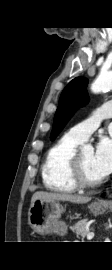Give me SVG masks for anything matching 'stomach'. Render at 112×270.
Segmentation results:
<instances>
[{
    "instance_id": "0dacf381",
    "label": "stomach",
    "mask_w": 112,
    "mask_h": 270,
    "mask_svg": "<svg viewBox=\"0 0 112 270\" xmlns=\"http://www.w3.org/2000/svg\"><path fill=\"white\" fill-rule=\"evenodd\" d=\"M95 215L104 213V205L94 202L89 206ZM62 206L56 200L37 199L31 203L28 211V223L39 234L54 232L65 234L67 225L61 221Z\"/></svg>"
}]
</instances>
